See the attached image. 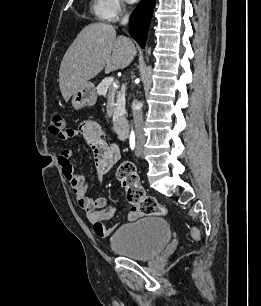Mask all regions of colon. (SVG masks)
I'll return each mask as SVG.
<instances>
[{"mask_svg": "<svg viewBox=\"0 0 261 306\" xmlns=\"http://www.w3.org/2000/svg\"><path fill=\"white\" fill-rule=\"evenodd\" d=\"M49 130L52 134L66 138L69 129L65 127V121L61 113L54 112L50 116ZM116 179L124 186L126 197L130 204L142 215H165L167 210L153 196L147 195L139 184L136 168L131 162H123L115 173ZM193 238L198 237V231H191Z\"/></svg>", "mask_w": 261, "mask_h": 306, "instance_id": "colon-1", "label": "colon"}]
</instances>
